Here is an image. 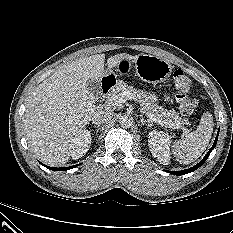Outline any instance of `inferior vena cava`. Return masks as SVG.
<instances>
[{"instance_id": "1", "label": "inferior vena cava", "mask_w": 233, "mask_h": 233, "mask_svg": "<svg viewBox=\"0 0 233 233\" xmlns=\"http://www.w3.org/2000/svg\"><path fill=\"white\" fill-rule=\"evenodd\" d=\"M113 116V110L106 104H100L91 120L95 125H100L110 120Z\"/></svg>"}]
</instances>
